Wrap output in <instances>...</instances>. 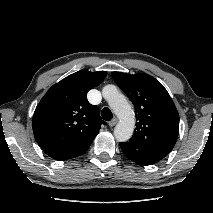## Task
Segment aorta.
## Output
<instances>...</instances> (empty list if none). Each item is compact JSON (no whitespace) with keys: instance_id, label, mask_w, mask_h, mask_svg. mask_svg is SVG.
I'll return each instance as SVG.
<instances>
[{"instance_id":"aorta-1","label":"aorta","mask_w":213,"mask_h":213,"mask_svg":"<svg viewBox=\"0 0 213 213\" xmlns=\"http://www.w3.org/2000/svg\"><path fill=\"white\" fill-rule=\"evenodd\" d=\"M103 96L108 101L109 106L119 118L118 124L114 128V136L119 142L128 141L134 132L135 114L126 97L118 92L114 85H107L103 88Z\"/></svg>"}]
</instances>
